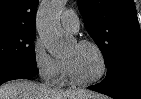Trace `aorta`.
Instances as JSON below:
<instances>
[{
    "mask_svg": "<svg viewBox=\"0 0 141 99\" xmlns=\"http://www.w3.org/2000/svg\"><path fill=\"white\" fill-rule=\"evenodd\" d=\"M64 0H45L41 3L37 15V31L47 50L53 56L65 53L72 39L65 35L60 26V15Z\"/></svg>",
    "mask_w": 141,
    "mask_h": 99,
    "instance_id": "obj_1",
    "label": "aorta"
}]
</instances>
